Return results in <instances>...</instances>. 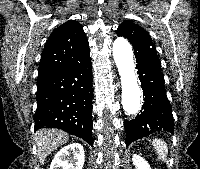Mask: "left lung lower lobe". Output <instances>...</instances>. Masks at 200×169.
Segmentation results:
<instances>
[{
    "label": "left lung lower lobe",
    "instance_id": "obj_1",
    "mask_svg": "<svg viewBox=\"0 0 200 169\" xmlns=\"http://www.w3.org/2000/svg\"><path fill=\"white\" fill-rule=\"evenodd\" d=\"M136 63L145 102L141 114L125 122L127 146L157 131L174 133L172 106L166 95L161 68L140 60Z\"/></svg>",
    "mask_w": 200,
    "mask_h": 169
}]
</instances>
